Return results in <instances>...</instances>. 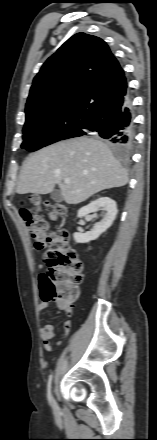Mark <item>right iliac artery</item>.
<instances>
[{
    "mask_svg": "<svg viewBox=\"0 0 157 440\" xmlns=\"http://www.w3.org/2000/svg\"><path fill=\"white\" fill-rule=\"evenodd\" d=\"M52 377H53V375L51 374L49 376V381H48V385H47V390H48L47 396H48V401H49L50 406H53V399H52V394H51Z\"/></svg>",
    "mask_w": 157,
    "mask_h": 440,
    "instance_id": "82829eb1",
    "label": "right iliac artery"
}]
</instances>
